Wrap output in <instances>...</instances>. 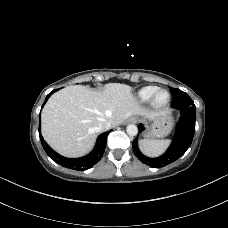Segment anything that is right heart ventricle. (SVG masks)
Listing matches in <instances>:
<instances>
[{
	"instance_id": "obj_1",
	"label": "right heart ventricle",
	"mask_w": 228,
	"mask_h": 228,
	"mask_svg": "<svg viewBox=\"0 0 228 228\" xmlns=\"http://www.w3.org/2000/svg\"><path fill=\"white\" fill-rule=\"evenodd\" d=\"M158 89V87L156 86H145L141 89H139L136 93V99L139 102H146L148 101L152 95L154 94V92Z\"/></svg>"
}]
</instances>
